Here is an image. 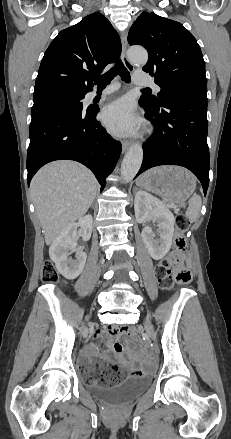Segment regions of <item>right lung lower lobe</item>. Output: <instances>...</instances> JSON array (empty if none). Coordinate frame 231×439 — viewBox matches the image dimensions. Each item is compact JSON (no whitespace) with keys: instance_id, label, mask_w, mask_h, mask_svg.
<instances>
[{"instance_id":"98d812e1","label":"right lung lower lobe","mask_w":231,"mask_h":439,"mask_svg":"<svg viewBox=\"0 0 231 439\" xmlns=\"http://www.w3.org/2000/svg\"><path fill=\"white\" fill-rule=\"evenodd\" d=\"M98 108L88 107L54 115L30 124L27 152L28 185L40 167L60 159L87 166L102 185L121 153L115 141L96 120Z\"/></svg>"}]
</instances>
